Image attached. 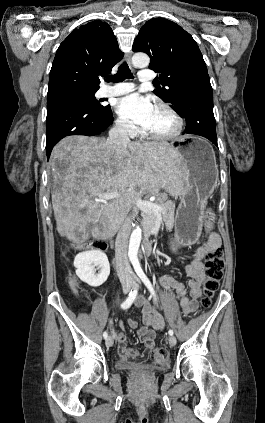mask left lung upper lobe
I'll return each mask as SVG.
<instances>
[{
  "instance_id": "obj_1",
  "label": "left lung upper lobe",
  "mask_w": 265,
  "mask_h": 423,
  "mask_svg": "<svg viewBox=\"0 0 265 423\" xmlns=\"http://www.w3.org/2000/svg\"><path fill=\"white\" fill-rule=\"evenodd\" d=\"M134 52L147 53L149 68L160 73L164 87H157L154 93L165 102L178 108V91L187 81L208 75L200 49L192 38L178 24L162 18H153L140 29L134 44Z\"/></svg>"
}]
</instances>
